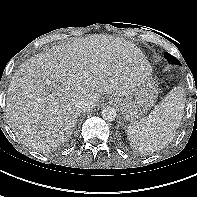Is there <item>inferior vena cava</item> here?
Segmentation results:
<instances>
[{
	"instance_id": "inferior-vena-cava-1",
	"label": "inferior vena cava",
	"mask_w": 197,
	"mask_h": 197,
	"mask_svg": "<svg viewBox=\"0 0 197 197\" xmlns=\"http://www.w3.org/2000/svg\"><path fill=\"white\" fill-rule=\"evenodd\" d=\"M93 106L94 102L90 98L81 99L78 102V110L80 113L90 110Z\"/></svg>"
}]
</instances>
